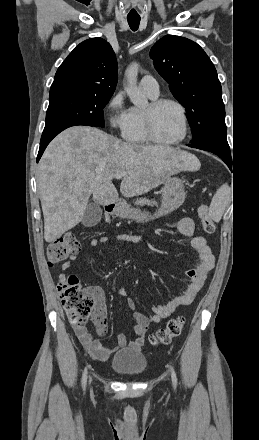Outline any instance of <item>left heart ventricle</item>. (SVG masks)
Masks as SVG:
<instances>
[{"label": "left heart ventricle", "mask_w": 259, "mask_h": 440, "mask_svg": "<svg viewBox=\"0 0 259 440\" xmlns=\"http://www.w3.org/2000/svg\"><path fill=\"white\" fill-rule=\"evenodd\" d=\"M154 124L157 135L165 141L176 140L183 133L180 111L172 104H166L156 111Z\"/></svg>", "instance_id": "b2bd125f"}]
</instances>
